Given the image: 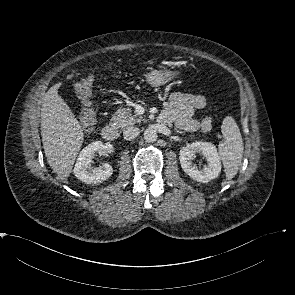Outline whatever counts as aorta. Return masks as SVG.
Returning <instances> with one entry per match:
<instances>
[{
  "label": "aorta",
  "mask_w": 295,
  "mask_h": 295,
  "mask_svg": "<svg viewBox=\"0 0 295 295\" xmlns=\"http://www.w3.org/2000/svg\"><path fill=\"white\" fill-rule=\"evenodd\" d=\"M157 131L156 129L150 127L144 131V138L147 142H154L157 140Z\"/></svg>",
  "instance_id": "1"
}]
</instances>
